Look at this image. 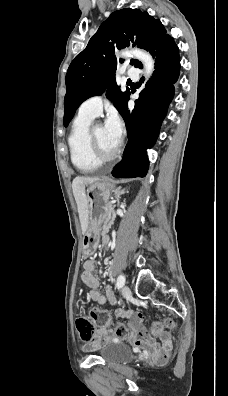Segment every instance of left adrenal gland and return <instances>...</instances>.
Segmentation results:
<instances>
[{"label": "left adrenal gland", "mask_w": 228, "mask_h": 396, "mask_svg": "<svg viewBox=\"0 0 228 396\" xmlns=\"http://www.w3.org/2000/svg\"><path fill=\"white\" fill-rule=\"evenodd\" d=\"M124 193H125V190H124V189L121 190V187H119V188L116 189V191H115V198H116V201H117V202H119L120 195H122V194H124Z\"/></svg>", "instance_id": "a2214340"}]
</instances>
